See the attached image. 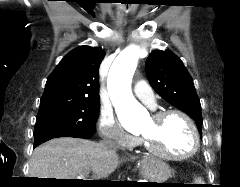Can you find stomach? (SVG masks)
<instances>
[{"mask_svg":"<svg viewBox=\"0 0 240 187\" xmlns=\"http://www.w3.org/2000/svg\"><path fill=\"white\" fill-rule=\"evenodd\" d=\"M143 176L149 180L148 182L164 183L171 176L169 165L156 158H146L141 164Z\"/></svg>","mask_w":240,"mask_h":187,"instance_id":"stomach-1","label":"stomach"}]
</instances>
